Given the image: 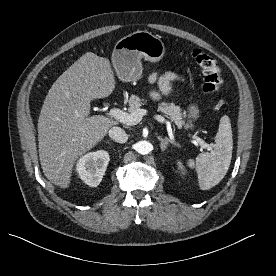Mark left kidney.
I'll return each instance as SVG.
<instances>
[{
	"label": "left kidney",
	"instance_id": "1",
	"mask_svg": "<svg viewBox=\"0 0 276 276\" xmlns=\"http://www.w3.org/2000/svg\"><path fill=\"white\" fill-rule=\"evenodd\" d=\"M177 165H178V168H179L181 171H184V166H183V164H182L181 161H178V162H177Z\"/></svg>",
	"mask_w": 276,
	"mask_h": 276
}]
</instances>
